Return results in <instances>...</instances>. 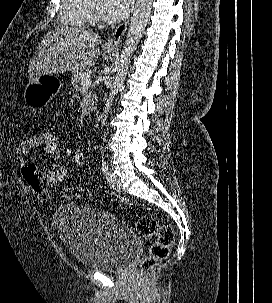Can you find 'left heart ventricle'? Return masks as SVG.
Segmentation results:
<instances>
[{
  "mask_svg": "<svg viewBox=\"0 0 272 303\" xmlns=\"http://www.w3.org/2000/svg\"><path fill=\"white\" fill-rule=\"evenodd\" d=\"M93 3L100 11H102L104 4L103 0H93Z\"/></svg>",
  "mask_w": 272,
  "mask_h": 303,
  "instance_id": "left-heart-ventricle-1",
  "label": "left heart ventricle"
}]
</instances>
